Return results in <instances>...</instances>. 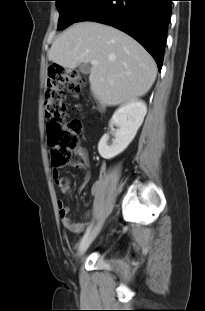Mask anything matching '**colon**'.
I'll use <instances>...</instances> for the list:
<instances>
[{
  "instance_id": "obj_1",
  "label": "colon",
  "mask_w": 205,
  "mask_h": 311,
  "mask_svg": "<svg viewBox=\"0 0 205 311\" xmlns=\"http://www.w3.org/2000/svg\"><path fill=\"white\" fill-rule=\"evenodd\" d=\"M67 84L71 92H78L83 80L71 71L59 66H51L47 71L44 112L47 121L46 131L51 150V163L54 168L67 164L75 149L79 147L83 130L78 119L67 120L64 105Z\"/></svg>"
}]
</instances>
